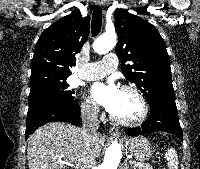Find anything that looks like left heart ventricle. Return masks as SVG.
Listing matches in <instances>:
<instances>
[{
  "label": "left heart ventricle",
  "instance_id": "b2bd125f",
  "mask_svg": "<svg viewBox=\"0 0 200 169\" xmlns=\"http://www.w3.org/2000/svg\"><path fill=\"white\" fill-rule=\"evenodd\" d=\"M141 112V105L138 98L131 92L120 91L117 105L113 115L124 120L136 119Z\"/></svg>",
  "mask_w": 200,
  "mask_h": 169
}]
</instances>
